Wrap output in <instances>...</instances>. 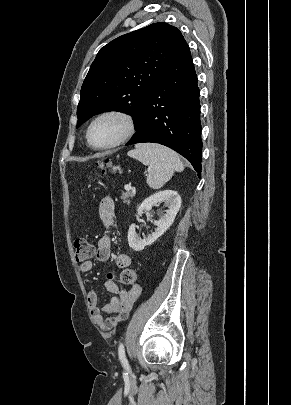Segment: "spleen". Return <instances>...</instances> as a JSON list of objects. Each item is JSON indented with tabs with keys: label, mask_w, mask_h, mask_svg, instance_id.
<instances>
[{
	"label": "spleen",
	"mask_w": 291,
	"mask_h": 405,
	"mask_svg": "<svg viewBox=\"0 0 291 405\" xmlns=\"http://www.w3.org/2000/svg\"><path fill=\"white\" fill-rule=\"evenodd\" d=\"M128 155L149 166L147 184L153 188H161L168 182L175 171L182 172L184 164L173 150L158 144H139Z\"/></svg>",
	"instance_id": "obj_1"
}]
</instances>
